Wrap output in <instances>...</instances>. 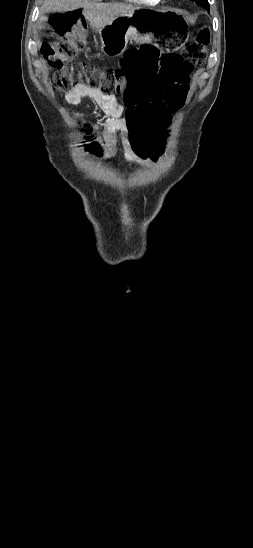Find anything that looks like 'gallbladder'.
Here are the masks:
<instances>
[{
    "label": "gallbladder",
    "instance_id": "gallbladder-1",
    "mask_svg": "<svg viewBox=\"0 0 253 548\" xmlns=\"http://www.w3.org/2000/svg\"><path fill=\"white\" fill-rule=\"evenodd\" d=\"M45 21H46V19H44V18H43V19H41V21H40V25H41V26H43V24L45 23Z\"/></svg>",
    "mask_w": 253,
    "mask_h": 548
}]
</instances>
